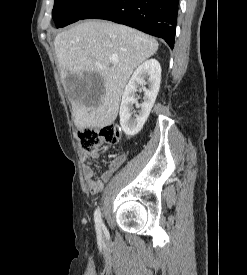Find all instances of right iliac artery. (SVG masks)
Instances as JSON below:
<instances>
[{
  "mask_svg": "<svg viewBox=\"0 0 247 275\" xmlns=\"http://www.w3.org/2000/svg\"><path fill=\"white\" fill-rule=\"evenodd\" d=\"M94 220H95L96 232L100 236L101 235V228L103 226V221H102V218H101V212H100L99 208H97L94 212Z\"/></svg>",
  "mask_w": 247,
  "mask_h": 275,
  "instance_id": "obj_1",
  "label": "right iliac artery"
}]
</instances>
